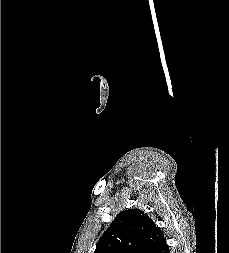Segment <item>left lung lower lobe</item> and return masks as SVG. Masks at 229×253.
I'll return each instance as SVG.
<instances>
[{"label":"left lung lower lobe","mask_w":229,"mask_h":253,"mask_svg":"<svg viewBox=\"0 0 229 253\" xmlns=\"http://www.w3.org/2000/svg\"><path fill=\"white\" fill-rule=\"evenodd\" d=\"M155 253H170L169 247L165 241V239L160 243Z\"/></svg>","instance_id":"1"}]
</instances>
